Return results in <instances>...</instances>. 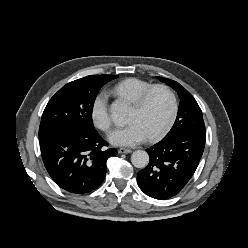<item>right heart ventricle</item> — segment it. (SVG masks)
<instances>
[{
  "mask_svg": "<svg viewBox=\"0 0 248 248\" xmlns=\"http://www.w3.org/2000/svg\"><path fill=\"white\" fill-rule=\"evenodd\" d=\"M153 86L152 83L139 79L127 78L111 88V92L119 98H125L133 103L145 90Z\"/></svg>",
  "mask_w": 248,
  "mask_h": 248,
  "instance_id": "e07e8e85",
  "label": "right heart ventricle"
}]
</instances>
